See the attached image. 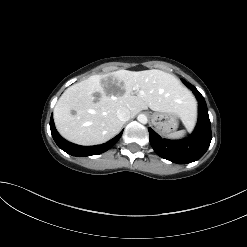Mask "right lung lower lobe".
<instances>
[{"instance_id": "right-lung-lower-lobe-1", "label": "right lung lower lobe", "mask_w": 247, "mask_h": 247, "mask_svg": "<svg viewBox=\"0 0 247 247\" xmlns=\"http://www.w3.org/2000/svg\"><path fill=\"white\" fill-rule=\"evenodd\" d=\"M50 129L51 134L53 136L54 141L58 145L59 148H61L66 153L73 155V156H90V155H98L105 151H107L109 148H111L121 137L123 131H121L116 137L111 139L110 141L96 146H80L73 143L68 142L64 138H62L54 126L53 117L51 116L50 119Z\"/></svg>"}]
</instances>
